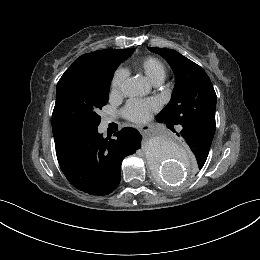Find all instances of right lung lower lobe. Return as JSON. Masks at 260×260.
Wrapping results in <instances>:
<instances>
[{"label": "right lung lower lobe", "mask_w": 260, "mask_h": 260, "mask_svg": "<svg viewBox=\"0 0 260 260\" xmlns=\"http://www.w3.org/2000/svg\"><path fill=\"white\" fill-rule=\"evenodd\" d=\"M104 138L97 127L55 137L56 155L68 181L90 195L113 192L121 180V163L141 147V134L125 127Z\"/></svg>", "instance_id": "98d812e1"}]
</instances>
